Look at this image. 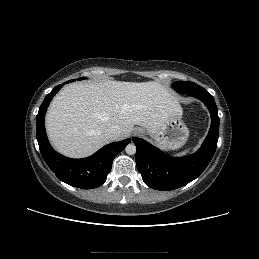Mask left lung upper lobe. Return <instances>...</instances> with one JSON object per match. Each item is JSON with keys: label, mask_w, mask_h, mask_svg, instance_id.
I'll use <instances>...</instances> for the list:
<instances>
[{"label": "left lung upper lobe", "mask_w": 259, "mask_h": 259, "mask_svg": "<svg viewBox=\"0 0 259 259\" xmlns=\"http://www.w3.org/2000/svg\"><path fill=\"white\" fill-rule=\"evenodd\" d=\"M173 88L179 93H192L204 90L203 87L194 82L177 81L172 84Z\"/></svg>", "instance_id": "obj_1"}]
</instances>
